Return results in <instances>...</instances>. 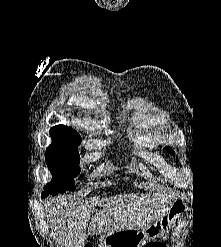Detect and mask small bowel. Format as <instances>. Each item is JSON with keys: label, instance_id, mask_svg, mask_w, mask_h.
I'll use <instances>...</instances> for the list:
<instances>
[{"label": "small bowel", "instance_id": "obj_1", "mask_svg": "<svg viewBox=\"0 0 221 247\" xmlns=\"http://www.w3.org/2000/svg\"><path fill=\"white\" fill-rule=\"evenodd\" d=\"M153 244V247H166L165 244L161 243V242H150ZM148 244V243H147ZM146 244V245H147ZM146 247V246H145Z\"/></svg>", "mask_w": 221, "mask_h": 247}]
</instances>
